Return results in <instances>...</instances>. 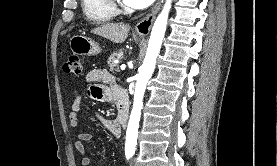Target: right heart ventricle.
<instances>
[{
  "label": "right heart ventricle",
  "mask_w": 277,
  "mask_h": 166,
  "mask_svg": "<svg viewBox=\"0 0 277 166\" xmlns=\"http://www.w3.org/2000/svg\"><path fill=\"white\" fill-rule=\"evenodd\" d=\"M81 7L85 17L97 24L112 21L116 16L107 0H81Z\"/></svg>",
  "instance_id": "e07e8e85"
}]
</instances>
